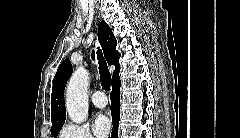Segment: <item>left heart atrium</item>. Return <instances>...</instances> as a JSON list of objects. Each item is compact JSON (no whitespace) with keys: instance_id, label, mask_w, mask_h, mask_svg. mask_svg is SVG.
Segmentation results:
<instances>
[{"instance_id":"39dd6f15","label":"left heart atrium","mask_w":240,"mask_h":138,"mask_svg":"<svg viewBox=\"0 0 240 138\" xmlns=\"http://www.w3.org/2000/svg\"><path fill=\"white\" fill-rule=\"evenodd\" d=\"M93 129L97 137H105L111 129V122L109 118L104 114L97 115L94 121Z\"/></svg>"}]
</instances>
